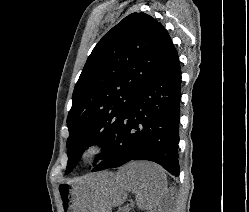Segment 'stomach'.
I'll use <instances>...</instances> for the list:
<instances>
[{
	"label": "stomach",
	"mask_w": 249,
	"mask_h": 212,
	"mask_svg": "<svg viewBox=\"0 0 249 212\" xmlns=\"http://www.w3.org/2000/svg\"><path fill=\"white\" fill-rule=\"evenodd\" d=\"M125 184H119L114 175L107 170H95V174L86 175L83 180L60 184L59 194L63 212H109L122 204Z\"/></svg>",
	"instance_id": "0dacf381"
}]
</instances>
